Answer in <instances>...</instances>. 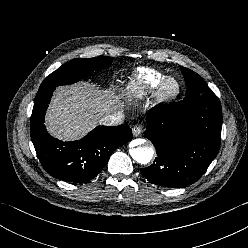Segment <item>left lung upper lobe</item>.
<instances>
[{"label": "left lung upper lobe", "mask_w": 248, "mask_h": 248, "mask_svg": "<svg viewBox=\"0 0 248 248\" xmlns=\"http://www.w3.org/2000/svg\"><path fill=\"white\" fill-rule=\"evenodd\" d=\"M181 71L188 86L184 99H191L203 94H214L203 79L195 72L181 67Z\"/></svg>", "instance_id": "1"}]
</instances>
